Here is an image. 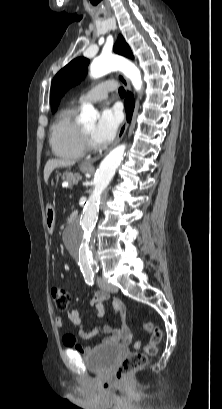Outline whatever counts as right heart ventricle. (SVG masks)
Listing matches in <instances>:
<instances>
[{
	"label": "right heart ventricle",
	"instance_id": "e07e8e85",
	"mask_svg": "<svg viewBox=\"0 0 222 409\" xmlns=\"http://www.w3.org/2000/svg\"><path fill=\"white\" fill-rule=\"evenodd\" d=\"M77 105L63 108L57 115L50 131V144L53 152L63 159L74 160L84 155L81 125L76 116Z\"/></svg>",
	"mask_w": 222,
	"mask_h": 409
}]
</instances>
